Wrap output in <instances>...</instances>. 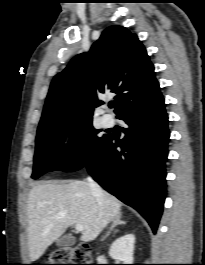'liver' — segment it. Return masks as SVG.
<instances>
[{"mask_svg":"<svg viewBox=\"0 0 205 265\" xmlns=\"http://www.w3.org/2000/svg\"><path fill=\"white\" fill-rule=\"evenodd\" d=\"M102 194L100 207L86 181H47L35 185L27 202L30 260L39 259L68 227L76 224L84 228L81 241L94 240L114 217L121 215L119 200L105 191Z\"/></svg>","mask_w":205,"mask_h":265,"instance_id":"obj_1","label":"liver"}]
</instances>
